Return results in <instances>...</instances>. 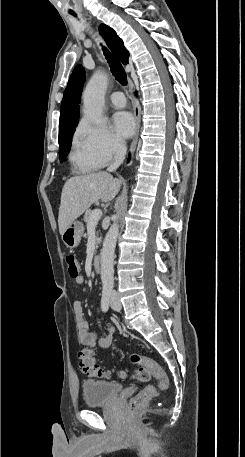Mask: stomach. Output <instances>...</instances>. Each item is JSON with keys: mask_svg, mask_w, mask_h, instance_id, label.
<instances>
[{"mask_svg": "<svg viewBox=\"0 0 245 457\" xmlns=\"http://www.w3.org/2000/svg\"><path fill=\"white\" fill-rule=\"evenodd\" d=\"M83 233V222L73 220L71 224H68L66 231L62 233V241L68 249H75V247H78Z\"/></svg>", "mask_w": 245, "mask_h": 457, "instance_id": "1", "label": "stomach"}]
</instances>
